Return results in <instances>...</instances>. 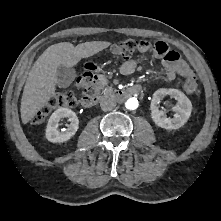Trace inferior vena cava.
<instances>
[{"mask_svg":"<svg viewBox=\"0 0 221 221\" xmlns=\"http://www.w3.org/2000/svg\"><path fill=\"white\" fill-rule=\"evenodd\" d=\"M100 106L103 111H110L115 108L116 102L113 98L104 97L101 99Z\"/></svg>","mask_w":221,"mask_h":221,"instance_id":"1","label":"inferior vena cava"}]
</instances>
